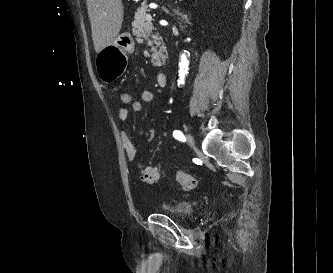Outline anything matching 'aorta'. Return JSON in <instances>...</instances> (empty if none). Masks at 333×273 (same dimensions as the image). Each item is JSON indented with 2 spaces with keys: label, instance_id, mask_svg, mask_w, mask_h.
<instances>
[{
  "label": "aorta",
  "instance_id": "1",
  "mask_svg": "<svg viewBox=\"0 0 333 273\" xmlns=\"http://www.w3.org/2000/svg\"><path fill=\"white\" fill-rule=\"evenodd\" d=\"M188 66H189V61L187 59V56L184 53L181 55V62L179 64L180 82H184L185 75L188 73Z\"/></svg>",
  "mask_w": 333,
  "mask_h": 273
}]
</instances>
